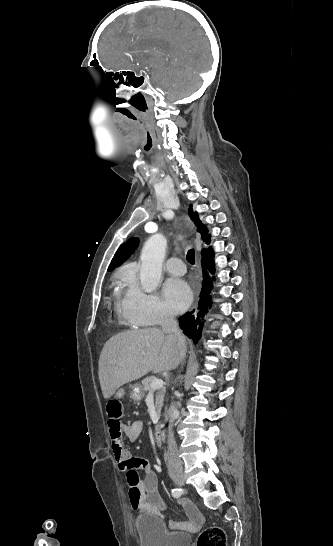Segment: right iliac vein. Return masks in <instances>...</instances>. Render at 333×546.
Instances as JSON below:
<instances>
[{"label": "right iliac vein", "mask_w": 333, "mask_h": 546, "mask_svg": "<svg viewBox=\"0 0 333 546\" xmlns=\"http://www.w3.org/2000/svg\"><path fill=\"white\" fill-rule=\"evenodd\" d=\"M170 476L172 480L176 482L178 485L182 486L185 484V477L182 471L180 470L171 471Z\"/></svg>", "instance_id": "1"}]
</instances>
